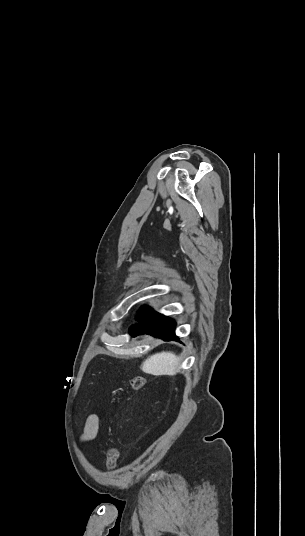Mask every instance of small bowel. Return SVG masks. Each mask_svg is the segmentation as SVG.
Masks as SVG:
<instances>
[{"label": "small bowel", "mask_w": 305, "mask_h": 536, "mask_svg": "<svg viewBox=\"0 0 305 536\" xmlns=\"http://www.w3.org/2000/svg\"><path fill=\"white\" fill-rule=\"evenodd\" d=\"M99 433V416L96 414H91L87 417L84 430L82 434V439L84 441H90L97 437Z\"/></svg>", "instance_id": "c3829d8e"}]
</instances>
